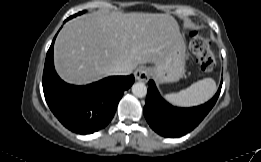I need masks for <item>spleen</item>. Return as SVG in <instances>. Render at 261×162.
I'll use <instances>...</instances> for the list:
<instances>
[{"mask_svg":"<svg viewBox=\"0 0 261 162\" xmlns=\"http://www.w3.org/2000/svg\"><path fill=\"white\" fill-rule=\"evenodd\" d=\"M215 91V81L212 78H204L178 93L166 94L164 97L173 105L191 107L206 102L214 95Z\"/></svg>","mask_w":261,"mask_h":162,"instance_id":"spleen-1","label":"spleen"}]
</instances>
